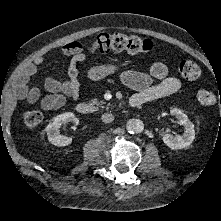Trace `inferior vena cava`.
<instances>
[{
	"mask_svg": "<svg viewBox=\"0 0 221 221\" xmlns=\"http://www.w3.org/2000/svg\"><path fill=\"white\" fill-rule=\"evenodd\" d=\"M101 119L104 123H111L114 120V115L112 113H104Z\"/></svg>",
	"mask_w": 221,
	"mask_h": 221,
	"instance_id": "602c4592",
	"label": "inferior vena cava"
}]
</instances>
